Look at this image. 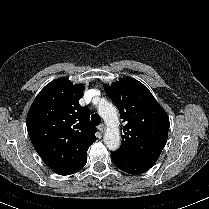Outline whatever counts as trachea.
<instances>
[{
	"instance_id": "3493384b",
	"label": "trachea",
	"mask_w": 209,
	"mask_h": 209,
	"mask_svg": "<svg viewBox=\"0 0 209 209\" xmlns=\"http://www.w3.org/2000/svg\"><path fill=\"white\" fill-rule=\"evenodd\" d=\"M91 122L93 125L98 126L101 123V118L98 114L91 115Z\"/></svg>"
}]
</instances>
